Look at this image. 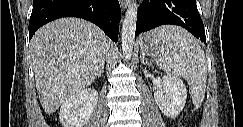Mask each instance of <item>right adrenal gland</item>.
<instances>
[{"instance_id":"right-adrenal-gland-1","label":"right adrenal gland","mask_w":243,"mask_h":127,"mask_svg":"<svg viewBox=\"0 0 243 127\" xmlns=\"http://www.w3.org/2000/svg\"><path fill=\"white\" fill-rule=\"evenodd\" d=\"M103 73H104V64L102 65L101 70L99 71L97 76L100 77V75Z\"/></svg>"}]
</instances>
